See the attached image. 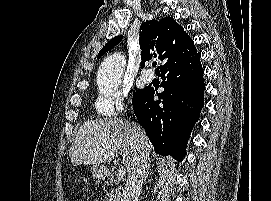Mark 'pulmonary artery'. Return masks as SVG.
Wrapping results in <instances>:
<instances>
[{
	"instance_id": "e3ab8cb5",
	"label": "pulmonary artery",
	"mask_w": 271,
	"mask_h": 201,
	"mask_svg": "<svg viewBox=\"0 0 271 201\" xmlns=\"http://www.w3.org/2000/svg\"><path fill=\"white\" fill-rule=\"evenodd\" d=\"M141 80L145 83H149L152 81L153 79V75L152 72L149 70H145L142 72L141 76H140Z\"/></svg>"
}]
</instances>
